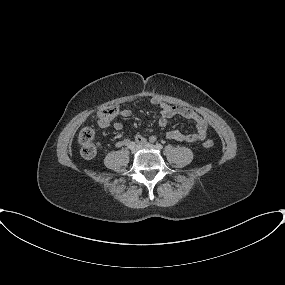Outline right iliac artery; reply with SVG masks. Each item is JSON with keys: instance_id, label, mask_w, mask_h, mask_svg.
<instances>
[{"instance_id": "1", "label": "right iliac artery", "mask_w": 285, "mask_h": 285, "mask_svg": "<svg viewBox=\"0 0 285 285\" xmlns=\"http://www.w3.org/2000/svg\"><path fill=\"white\" fill-rule=\"evenodd\" d=\"M126 145L128 146L129 149H133L136 146L135 142L133 141H129Z\"/></svg>"}]
</instances>
